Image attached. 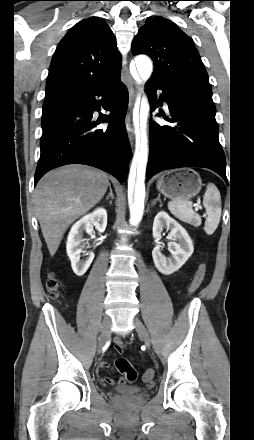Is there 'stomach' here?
<instances>
[{"label": "stomach", "instance_id": "1", "mask_svg": "<svg viewBox=\"0 0 254 440\" xmlns=\"http://www.w3.org/2000/svg\"><path fill=\"white\" fill-rule=\"evenodd\" d=\"M202 187L200 175L190 168L168 171L157 181V189L172 200H188L199 193Z\"/></svg>", "mask_w": 254, "mask_h": 440}]
</instances>
